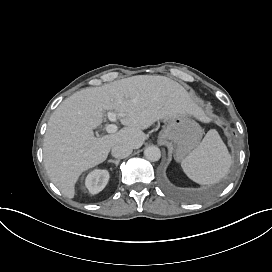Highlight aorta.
<instances>
[{"instance_id":"obj_1","label":"aorta","mask_w":272,"mask_h":272,"mask_svg":"<svg viewBox=\"0 0 272 272\" xmlns=\"http://www.w3.org/2000/svg\"><path fill=\"white\" fill-rule=\"evenodd\" d=\"M144 156L150 162H157L161 157V151L158 147L151 146L145 150Z\"/></svg>"}]
</instances>
